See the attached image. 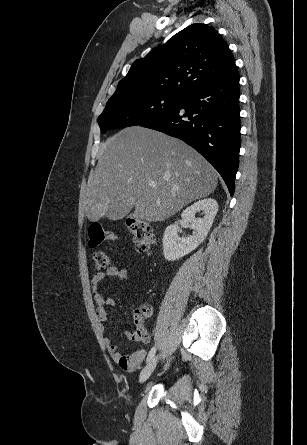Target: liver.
Segmentation results:
<instances>
[{
    "mask_svg": "<svg viewBox=\"0 0 307 445\" xmlns=\"http://www.w3.org/2000/svg\"><path fill=\"white\" fill-rule=\"evenodd\" d=\"M216 186V170L192 146L158 130L127 126L100 144L87 182L86 212L89 220L107 212L123 218L135 206L134 218L156 223Z\"/></svg>",
    "mask_w": 307,
    "mask_h": 445,
    "instance_id": "1",
    "label": "liver"
}]
</instances>
